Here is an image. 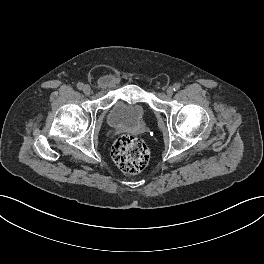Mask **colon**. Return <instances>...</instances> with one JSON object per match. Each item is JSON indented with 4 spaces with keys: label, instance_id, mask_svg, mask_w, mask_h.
<instances>
[{
    "label": "colon",
    "instance_id": "colon-1",
    "mask_svg": "<svg viewBox=\"0 0 264 264\" xmlns=\"http://www.w3.org/2000/svg\"><path fill=\"white\" fill-rule=\"evenodd\" d=\"M112 158L126 173H139L149 161V150L145 143L134 136L122 135L113 144Z\"/></svg>",
    "mask_w": 264,
    "mask_h": 264
}]
</instances>
